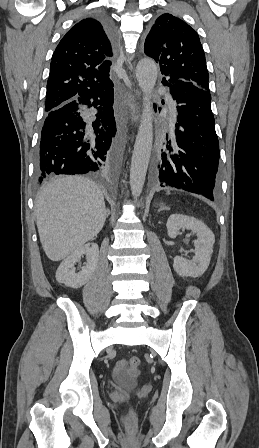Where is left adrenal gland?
<instances>
[{"label": "left adrenal gland", "instance_id": "1", "mask_svg": "<svg viewBox=\"0 0 259 448\" xmlns=\"http://www.w3.org/2000/svg\"><path fill=\"white\" fill-rule=\"evenodd\" d=\"M161 210H170V208H167V206H160V210H158V212H161Z\"/></svg>", "mask_w": 259, "mask_h": 448}]
</instances>
